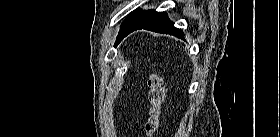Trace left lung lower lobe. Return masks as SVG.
<instances>
[{
    "mask_svg": "<svg viewBox=\"0 0 280 137\" xmlns=\"http://www.w3.org/2000/svg\"><path fill=\"white\" fill-rule=\"evenodd\" d=\"M138 29H146L158 33L170 34L184 39V34L182 33L181 29L174 27V23L168 19L164 12H156L152 10L144 18L132 25L126 31L123 38Z\"/></svg>",
    "mask_w": 280,
    "mask_h": 137,
    "instance_id": "left-lung-lower-lobe-1",
    "label": "left lung lower lobe"
}]
</instances>
